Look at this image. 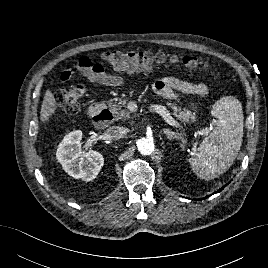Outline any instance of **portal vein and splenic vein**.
Wrapping results in <instances>:
<instances>
[{
    "instance_id": "obj_1",
    "label": "portal vein and splenic vein",
    "mask_w": 268,
    "mask_h": 268,
    "mask_svg": "<svg viewBox=\"0 0 268 268\" xmlns=\"http://www.w3.org/2000/svg\"><path fill=\"white\" fill-rule=\"evenodd\" d=\"M151 111H154L162 116V118L171 126L180 127L179 123L169 114L166 107L162 105H151L149 107ZM205 132H208V129H205Z\"/></svg>"
}]
</instances>
